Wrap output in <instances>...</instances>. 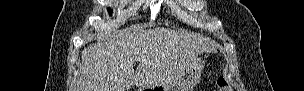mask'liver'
<instances>
[{
    "mask_svg": "<svg viewBox=\"0 0 304 91\" xmlns=\"http://www.w3.org/2000/svg\"><path fill=\"white\" fill-rule=\"evenodd\" d=\"M213 51L194 33L167 28L122 30L107 41L90 44L81 53L75 91H128L173 81L198 54ZM136 58L137 69H133Z\"/></svg>",
    "mask_w": 304,
    "mask_h": 91,
    "instance_id": "6515ba94",
    "label": "liver"
}]
</instances>
